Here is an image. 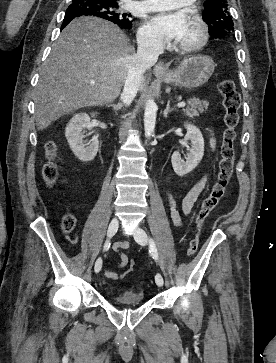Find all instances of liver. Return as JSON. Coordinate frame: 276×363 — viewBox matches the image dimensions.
<instances>
[{
    "instance_id": "obj_1",
    "label": "liver",
    "mask_w": 276,
    "mask_h": 363,
    "mask_svg": "<svg viewBox=\"0 0 276 363\" xmlns=\"http://www.w3.org/2000/svg\"><path fill=\"white\" fill-rule=\"evenodd\" d=\"M135 55L129 38L115 24L80 17L66 26L40 70L35 95L39 130L65 114L113 102ZM142 78L140 86L144 87Z\"/></svg>"
}]
</instances>
